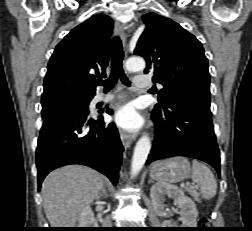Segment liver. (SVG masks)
Here are the masks:
<instances>
[{
    "instance_id": "1",
    "label": "liver",
    "mask_w": 252,
    "mask_h": 231,
    "mask_svg": "<svg viewBox=\"0 0 252 231\" xmlns=\"http://www.w3.org/2000/svg\"><path fill=\"white\" fill-rule=\"evenodd\" d=\"M104 187L95 170L70 165L51 172L43 181L42 198L52 228H73L84 208L98 198Z\"/></svg>"
}]
</instances>
